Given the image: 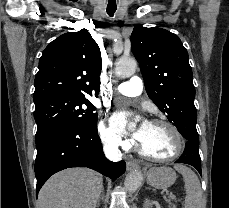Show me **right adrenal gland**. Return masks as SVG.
I'll return each mask as SVG.
<instances>
[{
  "instance_id": "obj_1",
  "label": "right adrenal gland",
  "mask_w": 229,
  "mask_h": 208,
  "mask_svg": "<svg viewBox=\"0 0 229 208\" xmlns=\"http://www.w3.org/2000/svg\"><path fill=\"white\" fill-rule=\"evenodd\" d=\"M100 202H104V192L102 190L100 196H99V200H97V206L96 208H98V206H100Z\"/></svg>"
}]
</instances>
